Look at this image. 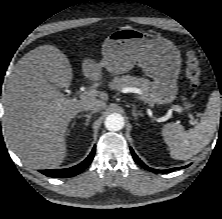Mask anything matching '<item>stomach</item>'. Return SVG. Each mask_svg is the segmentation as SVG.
Returning <instances> with one entry per match:
<instances>
[{
	"mask_svg": "<svg viewBox=\"0 0 222 219\" xmlns=\"http://www.w3.org/2000/svg\"><path fill=\"white\" fill-rule=\"evenodd\" d=\"M102 55L100 64L115 75L126 73L138 64L154 79L156 103L167 104L176 98L181 55L171 41L134 28H121L106 38Z\"/></svg>",
	"mask_w": 222,
	"mask_h": 219,
	"instance_id": "obj_1",
	"label": "stomach"
}]
</instances>
